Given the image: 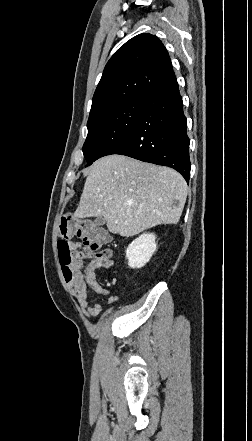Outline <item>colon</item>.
Listing matches in <instances>:
<instances>
[{"label":"colon","mask_w":252,"mask_h":441,"mask_svg":"<svg viewBox=\"0 0 252 441\" xmlns=\"http://www.w3.org/2000/svg\"><path fill=\"white\" fill-rule=\"evenodd\" d=\"M71 236H77L82 243L70 241ZM60 237L57 243L59 260L63 275L69 282H79L82 279L83 269L79 253L99 252L109 242V236L102 227L91 220L78 219L71 213L62 217Z\"/></svg>","instance_id":"obj_1"}]
</instances>
